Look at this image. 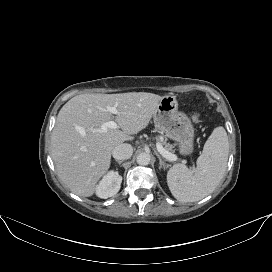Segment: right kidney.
<instances>
[{
  "label": "right kidney",
  "mask_w": 272,
  "mask_h": 272,
  "mask_svg": "<svg viewBox=\"0 0 272 272\" xmlns=\"http://www.w3.org/2000/svg\"><path fill=\"white\" fill-rule=\"evenodd\" d=\"M122 176L117 171H110L96 186V195L99 198L107 199L118 193L121 187Z\"/></svg>",
  "instance_id": "obj_1"
}]
</instances>
